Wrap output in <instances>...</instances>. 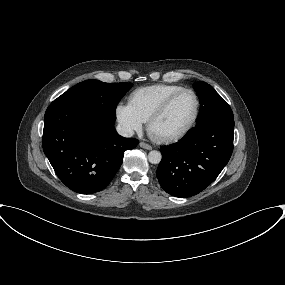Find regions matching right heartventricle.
I'll use <instances>...</instances> for the list:
<instances>
[{"instance_id": "right-heart-ventricle-1", "label": "right heart ventricle", "mask_w": 285, "mask_h": 285, "mask_svg": "<svg viewBox=\"0 0 285 285\" xmlns=\"http://www.w3.org/2000/svg\"><path fill=\"white\" fill-rule=\"evenodd\" d=\"M180 89L181 86L167 84L138 88L130 94L129 104L141 120L146 122L167 97Z\"/></svg>"}]
</instances>
